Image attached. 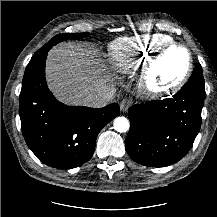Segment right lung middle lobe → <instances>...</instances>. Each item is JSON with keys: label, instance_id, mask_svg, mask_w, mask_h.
Instances as JSON below:
<instances>
[{"label": "right lung middle lobe", "instance_id": "dd1d6c3e", "mask_svg": "<svg viewBox=\"0 0 217 217\" xmlns=\"http://www.w3.org/2000/svg\"><path fill=\"white\" fill-rule=\"evenodd\" d=\"M87 34L88 33H77V34L66 33L62 35L61 34L56 35L48 43H46L41 49H39L33 57L39 56L44 52H48L52 46L56 45L58 42L64 39H69L71 37H73L74 39H78L86 36Z\"/></svg>", "mask_w": 217, "mask_h": 217}]
</instances>
